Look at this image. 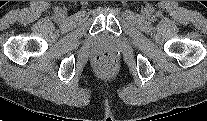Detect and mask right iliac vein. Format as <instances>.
<instances>
[{"mask_svg": "<svg viewBox=\"0 0 207 121\" xmlns=\"http://www.w3.org/2000/svg\"><path fill=\"white\" fill-rule=\"evenodd\" d=\"M61 14L64 15V12L62 11Z\"/></svg>", "mask_w": 207, "mask_h": 121, "instance_id": "63e3f726", "label": "right iliac vein"}]
</instances>
